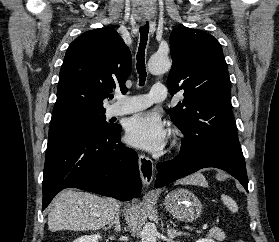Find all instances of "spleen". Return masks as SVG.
<instances>
[{"label":"spleen","instance_id":"1","mask_svg":"<svg viewBox=\"0 0 279 242\" xmlns=\"http://www.w3.org/2000/svg\"><path fill=\"white\" fill-rule=\"evenodd\" d=\"M221 200L232 212L238 211V206L231 197L223 194V195H221Z\"/></svg>","mask_w":279,"mask_h":242}]
</instances>
